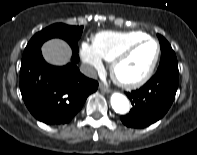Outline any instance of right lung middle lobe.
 <instances>
[{
	"label": "right lung middle lobe",
	"mask_w": 197,
	"mask_h": 155,
	"mask_svg": "<svg viewBox=\"0 0 197 155\" xmlns=\"http://www.w3.org/2000/svg\"><path fill=\"white\" fill-rule=\"evenodd\" d=\"M82 26H69L62 23L53 24L36 33L28 42L22 62L41 50L42 44L52 38H62L69 43L73 52H78L77 42L82 34Z\"/></svg>",
	"instance_id": "1"
}]
</instances>
